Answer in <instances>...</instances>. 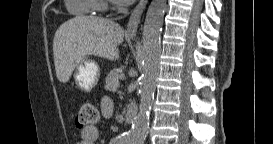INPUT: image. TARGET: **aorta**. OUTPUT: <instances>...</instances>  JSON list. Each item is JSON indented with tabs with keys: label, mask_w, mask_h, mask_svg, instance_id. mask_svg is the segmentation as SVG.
<instances>
[{
	"label": "aorta",
	"mask_w": 273,
	"mask_h": 144,
	"mask_svg": "<svg viewBox=\"0 0 273 144\" xmlns=\"http://www.w3.org/2000/svg\"><path fill=\"white\" fill-rule=\"evenodd\" d=\"M166 0H152L143 28V71L140 77V109L132 128L119 137L120 144H143L148 134L150 111L159 75L160 35Z\"/></svg>",
	"instance_id": "obj_1"
}]
</instances>
